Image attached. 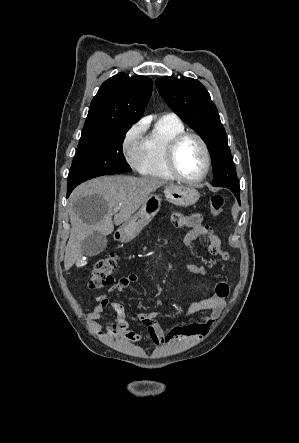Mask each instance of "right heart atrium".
I'll list each match as a JSON object with an SVG mask.
<instances>
[{
	"label": "right heart atrium",
	"instance_id": "right-heart-atrium-1",
	"mask_svg": "<svg viewBox=\"0 0 299 443\" xmlns=\"http://www.w3.org/2000/svg\"><path fill=\"white\" fill-rule=\"evenodd\" d=\"M145 131L146 124L143 121H139L126 130L121 141L123 155L129 165L136 170H139L143 157Z\"/></svg>",
	"mask_w": 299,
	"mask_h": 443
}]
</instances>
